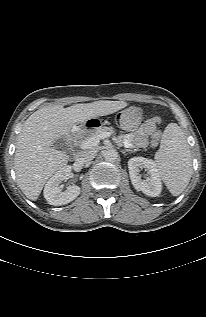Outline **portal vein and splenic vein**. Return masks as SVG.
<instances>
[{"label":"portal vein and splenic vein","mask_w":206,"mask_h":317,"mask_svg":"<svg viewBox=\"0 0 206 317\" xmlns=\"http://www.w3.org/2000/svg\"><path fill=\"white\" fill-rule=\"evenodd\" d=\"M110 135L111 134L108 133V132H103L101 134L92 136L87 141H85V142H83L81 144V149H91V148H93V147L98 145L100 139H104V138L110 137Z\"/></svg>","instance_id":"obj_1"}]
</instances>
